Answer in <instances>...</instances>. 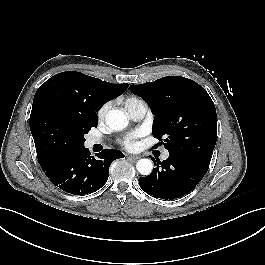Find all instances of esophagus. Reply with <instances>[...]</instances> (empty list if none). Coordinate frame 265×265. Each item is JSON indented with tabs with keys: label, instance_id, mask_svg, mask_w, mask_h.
Masks as SVG:
<instances>
[{
	"label": "esophagus",
	"instance_id": "34e87169",
	"mask_svg": "<svg viewBox=\"0 0 265 265\" xmlns=\"http://www.w3.org/2000/svg\"><path fill=\"white\" fill-rule=\"evenodd\" d=\"M128 158L132 159V160H137L140 158V156L138 155H128Z\"/></svg>",
	"mask_w": 265,
	"mask_h": 265
}]
</instances>
